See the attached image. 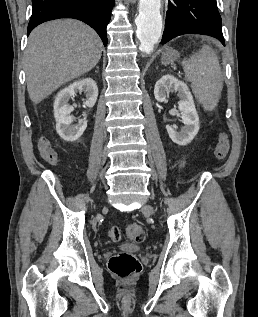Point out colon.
Masks as SVG:
<instances>
[{
    "instance_id": "5ec220e1",
    "label": "colon",
    "mask_w": 258,
    "mask_h": 317,
    "mask_svg": "<svg viewBox=\"0 0 258 317\" xmlns=\"http://www.w3.org/2000/svg\"><path fill=\"white\" fill-rule=\"evenodd\" d=\"M230 147L229 136L226 132H221L218 136L217 143L214 148V156L217 160H222L226 157ZM42 158L55 164L58 161L57 153H49L44 151ZM125 236L134 242H142L145 239V229L139 223H129L124 229ZM109 237L118 241L121 238V230L118 227H112L109 232ZM110 272L122 280H130L137 277L141 271V263L138 258L131 253L119 252L114 254L108 262Z\"/></svg>"
}]
</instances>
